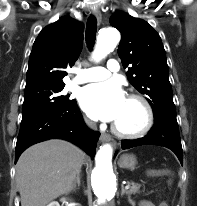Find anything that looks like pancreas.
I'll return each instance as SVG.
<instances>
[{
  "label": "pancreas",
  "mask_w": 197,
  "mask_h": 206,
  "mask_svg": "<svg viewBox=\"0 0 197 206\" xmlns=\"http://www.w3.org/2000/svg\"><path fill=\"white\" fill-rule=\"evenodd\" d=\"M128 185L130 186V188L127 190L129 195L139 193L140 186L138 184L134 182H128Z\"/></svg>",
  "instance_id": "1"
}]
</instances>
